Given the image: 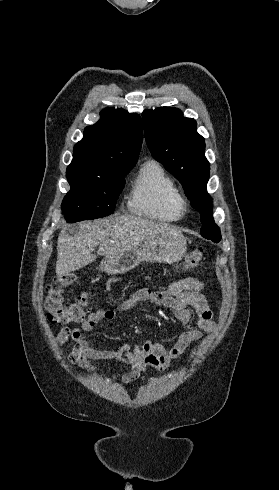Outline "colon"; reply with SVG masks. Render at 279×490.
I'll return each mask as SVG.
<instances>
[{
  "label": "colon",
  "mask_w": 279,
  "mask_h": 490,
  "mask_svg": "<svg viewBox=\"0 0 279 490\" xmlns=\"http://www.w3.org/2000/svg\"><path fill=\"white\" fill-rule=\"evenodd\" d=\"M205 250L203 246H198L191 251L182 263L184 270H189L199 266L204 260ZM75 274L66 273L55 277L48 286L44 298V307L48 313V320L54 324L70 325L81 323L87 314L88 300L85 292L81 293L77 301L70 306L64 305V289L74 283Z\"/></svg>",
  "instance_id": "1"
}]
</instances>
